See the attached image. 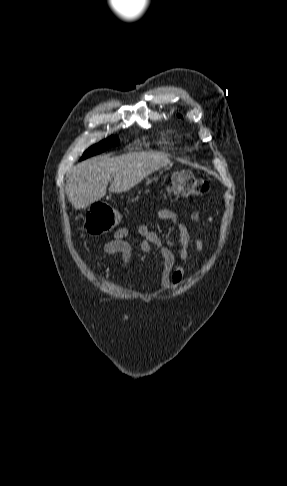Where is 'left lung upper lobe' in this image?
I'll return each instance as SVG.
<instances>
[{
  "label": "left lung upper lobe",
  "mask_w": 287,
  "mask_h": 486,
  "mask_svg": "<svg viewBox=\"0 0 287 486\" xmlns=\"http://www.w3.org/2000/svg\"><path fill=\"white\" fill-rule=\"evenodd\" d=\"M177 116H178V117H181V115H180V114H177Z\"/></svg>",
  "instance_id": "obj_1"
}]
</instances>
